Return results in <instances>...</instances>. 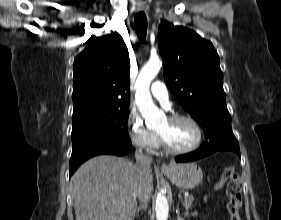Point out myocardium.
<instances>
[{"mask_svg": "<svg viewBox=\"0 0 281 220\" xmlns=\"http://www.w3.org/2000/svg\"><path fill=\"white\" fill-rule=\"evenodd\" d=\"M167 119L171 122L177 121V120H186V121L190 122L196 130L197 139H196V142L189 148L175 149V148L170 147L167 144V142L165 141V139L163 138V136L160 135L159 133H157L158 141H159V144L163 151H165L168 154H173V155H184V154H189V153L196 151L201 146L202 141H203V131H202L200 124L198 123V121L195 118H193L192 116L187 115V114L175 113V114L169 115L167 117Z\"/></svg>", "mask_w": 281, "mask_h": 220, "instance_id": "1", "label": "myocardium"}]
</instances>
